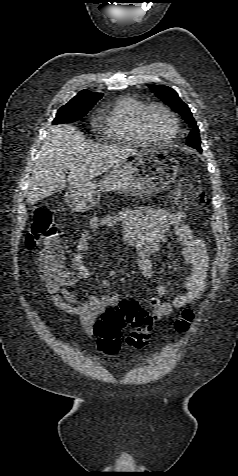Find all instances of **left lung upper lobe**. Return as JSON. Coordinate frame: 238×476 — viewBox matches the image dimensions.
Listing matches in <instances>:
<instances>
[{
    "label": "left lung upper lobe",
    "instance_id": "5c2ea615",
    "mask_svg": "<svg viewBox=\"0 0 238 476\" xmlns=\"http://www.w3.org/2000/svg\"><path fill=\"white\" fill-rule=\"evenodd\" d=\"M158 98L164 101L167 105L179 113L182 118L189 124L193 130L187 137L186 144L192 148L201 151V140L199 137V129L194 120L192 113L187 104H185L178 96L177 92L165 85H151L149 86Z\"/></svg>",
    "mask_w": 238,
    "mask_h": 476
}]
</instances>
